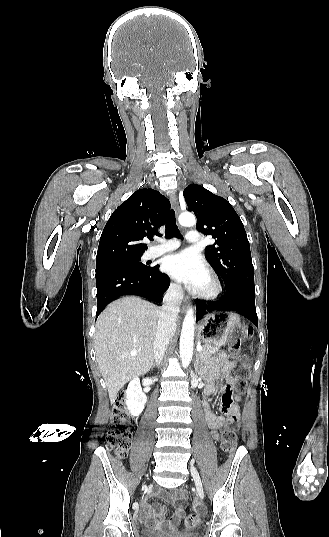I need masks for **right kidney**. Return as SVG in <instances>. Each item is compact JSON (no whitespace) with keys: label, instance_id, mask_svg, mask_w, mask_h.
<instances>
[{"label":"right kidney","instance_id":"1","mask_svg":"<svg viewBox=\"0 0 329 537\" xmlns=\"http://www.w3.org/2000/svg\"><path fill=\"white\" fill-rule=\"evenodd\" d=\"M125 398V403L130 414L134 416L140 415L145 407L147 397L142 392L138 377L133 378L129 382L128 388L125 391Z\"/></svg>","mask_w":329,"mask_h":537}]
</instances>
